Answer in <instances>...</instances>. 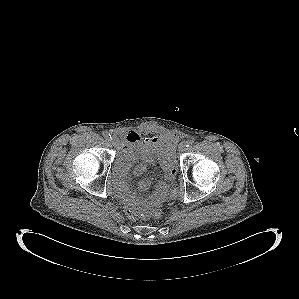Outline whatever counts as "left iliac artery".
<instances>
[{
    "label": "left iliac artery",
    "instance_id": "obj_1",
    "mask_svg": "<svg viewBox=\"0 0 299 299\" xmlns=\"http://www.w3.org/2000/svg\"><path fill=\"white\" fill-rule=\"evenodd\" d=\"M191 145H193V140L186 141V146L187 147H190Z\"/></svg>",
    "mask_w": 299,
    "mask_h": 299
}]
</instances>
